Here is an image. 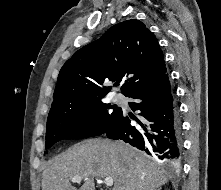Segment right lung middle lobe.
Listing matches in <instances>:
<instances>
[{
  "instance_id": "right-lung-middle-lobe-1",
  "label": "right lung middle lobe",
  "mask_w": 221,
  "mask_h": 190,
  "mask_svg": "<svg viewBox=\"0 0 221 190\" xmlns=\"http://www.w3.org/2000/svg\"><path fill=\"white\" fill-rule=\"evenodd\" d=\"M102 99L51 107L46 149L62 139H83L106 133L120 117L122 109Z\"/></svg>"
}]
</instances>
